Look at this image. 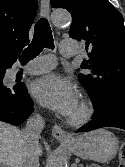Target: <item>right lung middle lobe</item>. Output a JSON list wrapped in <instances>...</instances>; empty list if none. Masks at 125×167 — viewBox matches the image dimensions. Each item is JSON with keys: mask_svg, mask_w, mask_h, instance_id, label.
<instances>
[{"mask_svg": "<svg viewBox=\"0 0 125 167\" xmlns=\"http://www.w3.org/2000/svg\"><path fill=\"white\" fill-rule=\"evenodd\" d=\"M3 77H2V74H0V81H2Z\"/></svg>", "mask_w": 125, "mask_h": 167, "instance_id": "1", "label": "right lung middle lobe"}]
</instances>
